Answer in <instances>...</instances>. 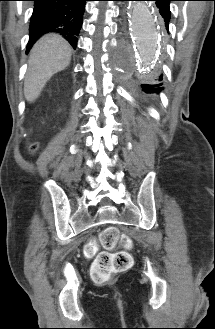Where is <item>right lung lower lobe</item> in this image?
<instances>
[{"instance_id":"obj_1","label":"right lung lower lobe","mask_w":215,"mask_h":329,"mask_svg":"<svg viewBox=\"0 0 215 329\" xmlns=\"http://www.w3.org/2000/svg\"><path fill=\"white\" fill-rule=\"evenodd\" d=\"M35 2L30 21L27 52L45 33H60L73 48L82 26L87 0H32Z\"/></svg>"}]
</instances>
